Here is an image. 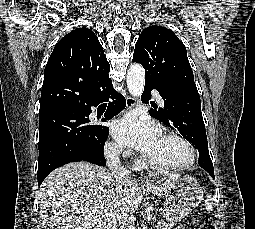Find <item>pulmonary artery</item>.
<instances>
[{
    "label": "pulmonary artery",
    "mask_w": 255,
    "mask_h": 229,
    "mask_svg": "<svg viewBox=\"0 0 255 229\" xmlns=\"http://www.w3.org/2000/svg\"><path fill=\"white\" fill-rule=\"evenodd\" d=\"M152 93H153V96H154V98L156 99V101H157L160 105H163V104H164L163 99H162V97L159 95L158 91H157V90H153Z\"/></svg>",
    "instance_id": "e3ab8cb5"
}]
</instances>
